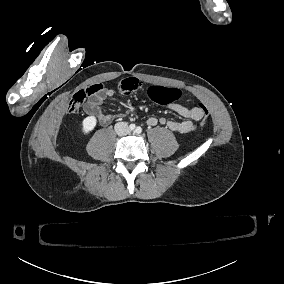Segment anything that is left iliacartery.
I'll return each instance as SVG.
<instances>
[{
	"label": "left iliac artery",
	"instance_id": "left-iliac-artery-1",
	"mask_svg": "<svg viewBox=\"0 0 284 284\" xmlns=\"http://www.w3.org/2000/svg\"><path fill=\"white\" fill-rule=\"evenodd\" d=\"M135 131H136L137 134H140L142 132V128L141 127H137Z\"/></svg>",
	"mask_w": 284,
	"mask_h": 284
}]
</instances>
